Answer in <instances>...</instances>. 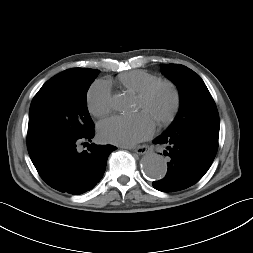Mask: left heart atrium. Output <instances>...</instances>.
<instances>
[{
  "label": "left heart atrium",
  "mask_w": 253,
  "mask_h": 253,
  "mask_svg": "<svg viewBox=\"0 0 253 253\" xmlns=\"http://www.w3.org/2000/svg\"><path fill=\"white\" fill-rule=\"evenodd\" d=\"M154 130V120L143 111L131 116H113L98 126V133L104 141L122 146H132L143 141Z\"/></svg>",
  "instance_id": "1"
}]
</instances>
